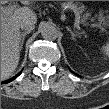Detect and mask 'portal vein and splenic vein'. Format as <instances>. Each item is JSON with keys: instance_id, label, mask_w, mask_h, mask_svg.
Here are the masks:
<instances>
[{"instance_id": "obj_1", "label": "portal vein and splenic vein", "mask_w": 109, "mask_h": 109, "mask_svg": "<svg viewBox=\"0 0 109 109\" xmlns=\"http://www.w3.org/2000/svg\"><path fill=\"white\" fill-rule=\"evenodd\" d=\"M5 9H6V10H5ZM5 9H3V10H4L3 13H5V14L14 11V7H13V6L7 7V8H5ZM76 22H77V27H79V25H78L79 20H76ZM92 26L95 27L96 25L93 24Z\"/></svg>"}]
</instances>
